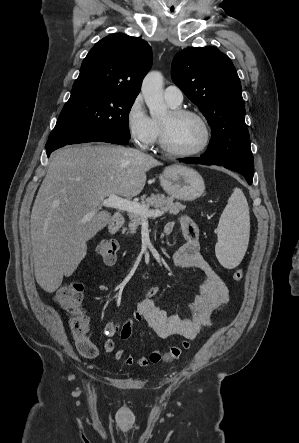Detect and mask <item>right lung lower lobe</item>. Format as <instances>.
<instances>
[{
  "label": "right lung lower lobe",
  "instance_id": "obj_1",
  "mask_svg": "<svg viewBox=\"0 0 299 443\" xmlns=\"http://www.w3.org/2000/svg\"><path fill=\"white\" fill-rule=\"evenodd\" d=\"M86 142H107V143L124 145L129 143V139L113 133L88 134V135L78 136L70 140L47 141L46 152L47 155L49 156L51 152L65 145L86 143Z\"/></svg>",
  "mask_w": 299,
  "mask_h": 443
}]
</instances>
